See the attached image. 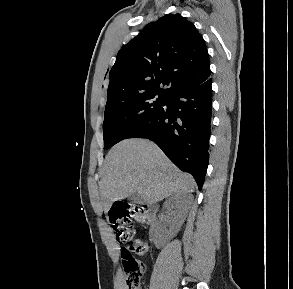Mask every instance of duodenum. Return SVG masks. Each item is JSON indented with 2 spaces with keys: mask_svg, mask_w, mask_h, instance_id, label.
<instances>
[{
  "mask_svg": "<svg viewBox=\"0 0 293 289\" xmlns=\"http://www.w3.org/2000/svg\"><path fill=\"white\" fill-rule=\"evenodd\" d=\"M157 206L156 205H149L146 209L147 220L151 221L153 217L156 215Z\"/></svg>",
  "mask_w": 293,
  "mask_h": 289,
  "instance_id": "obj_1",
  "label": "duodenum"
}]
</instances>
